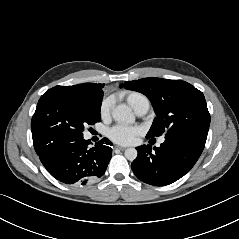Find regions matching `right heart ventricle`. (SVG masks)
<instances>
[{"label": "right heart ventricle", "instance_id": "1", "mask_svg": "<svg viewBox=\"0 0 239 239\" xmlns=\"http://www.w3.org/2000/svg\"><path fill=\"white\" fill-rule=\"evenodd\" d=\"M144 98H146L143 94L139 93V92H128L126 94V101L127 103L136 111V109L139 106V103L141 100H143Z\"/></svg>", "mask_w": 239, "mask_h": 239}]
</instances>
